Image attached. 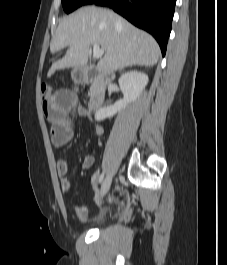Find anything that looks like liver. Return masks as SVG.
I'll return each mask as SVG.
<instances>
[{
  "mask_svg": "<svg viewBox=\"0 0 227 265\" xmlns=\"http://www.w3.org/2000/svg\"><path fill=\"white\" fill-rule=\"evenodd\" d=\"M94 44L105 52L97 65L102 73L132 65L154 66L160 56L157 42L145 31L110 10L85 7L60 21L50 51L54 54L69 48L62 59L52 64L47 76L56 70L85 66Z\"/></svg>",
  "mask_w": 227,
  "mask_h": 265,
  "instance_id": "6515ba94",
  "label": "liver"
}]
</instances>
